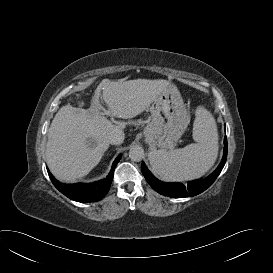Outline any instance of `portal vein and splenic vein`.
I'll list each match as a JSON object with an SVG mask.
<instances>
[{
  "mask_svg": "<svg viewBox=\"0 0 273 273\" xmlns=\"http://www.w3.org/2000/svg\"><path fill=\"white\" fill-rule=\"evenodd\" d=\"M104 112H105L106 115H111V116H112V114H110L109 111H106V110H105Z\"/></svg>",
  "mask_w": 273,
  "mask_h": 273,
  "instance_id": "portal-vein-and-splenic-vein-1",
  "label": "portal vein and splenic vein"
}]
</instances>
